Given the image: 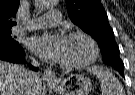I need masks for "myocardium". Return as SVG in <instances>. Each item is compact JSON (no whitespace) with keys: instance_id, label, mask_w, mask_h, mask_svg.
<instances>
[{"instance_id":"myocardium-1","label":"myocardium","mask_w":135,"mask_h":95,"mask_svg":"<svg viewBox=\"0 0 135 95\" xmlns=\"http://www.w3.org/2000/svg\"><path fill=\"white\" fill-rule=\"evenodd\" d=\"M75 37L83 38L88 43V45L91 49V55L88 59H86L85 61L80 62V63L68 64V63L60 62V66L64 69L74 70V69H81V68L87 67L90 64L94 63L99 56L98 45L89 34L82 32V31H75V32H71L67 35L68 39L75 38Z\"/></svg>"}]
</instances>
